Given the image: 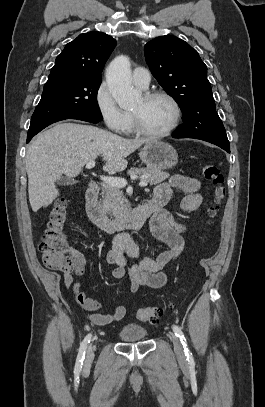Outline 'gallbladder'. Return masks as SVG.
I'll return each instance as SVG.
<instances>
[{
	"mask_svg": "<svg viewBox=\"0 0 265 407\" xmlns=\"http://www.w3.org/2000/svg\"><path fill=\"white\" fill-rule=\"evenodd\" d=\"M76 183H77L76 180H74L72 178H69V177H61L57 181V184L60 185V186H68V185H73V184H76Z\"/></svg>",
	"mask_w": 265,
	"mask_h": 407,
	"instance_id": "bac80fb5",
	"label": "gallbladder"
}]
</instances>
